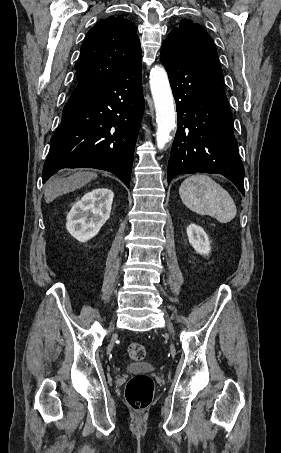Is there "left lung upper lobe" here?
I'll use <instances>...</instances> for the list:
<instances>
[{
  "label": "left lung upper lobe",
  "mask_w": 281,
  "mask_h": 453,
  "mask_svg": "<svg viewBox=\"0 0 281 453\" xmlns=\"http://www.w3.org/2000/svg\"><path fill=\"white\" fill-rule=\"evenodd\" d=\"M163 44L170 46L180 56L195 61H216L218 55L209 34L197 23L182 20Z\"/></svg>",
  "instance_id": "left-lung-upper-lobe-1"
}]
</instances>
